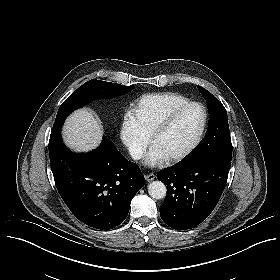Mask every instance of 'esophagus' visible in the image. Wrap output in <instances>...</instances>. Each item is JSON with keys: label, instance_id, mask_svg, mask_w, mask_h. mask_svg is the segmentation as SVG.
I'll return each mask as SVG.
<instances>
[{"label": "esophagus", "instance_id": "esophagus-1", "mask_svg": "<svg viewBox=\"0 0 280 280\" xmlns=\"http://www.w3.org/2000/svg\"><path fill=\"white\" fill-rule=\"evenodd\" d=\"M154 178H155V175H154V174H150V175H148V176H145V179H146L148 182L152 181Z\"/></svg>", "mask_w": 280, "mask_h": 280}]
</instances>
